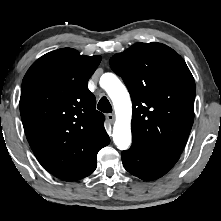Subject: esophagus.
Wrapping results in <instances>:
<instances>
[{
  "mask_svg": "<svg viewBox=\"0 0 221 221\" xmlns=\"http://www.w3.org/2000/svg\"><path fill=\"white\" fill-rule=\"evenodd\" d=\"M106 117H107V119H108V121H109L110 123H113L114 120H115V116H114V114H112V113L107 114Z\"/></svg>",
  "mask_w": 221,
  "mask_h": 221,
  "instance_id": "34e87169",
  "label": "esophagus"
}]
</instances>
